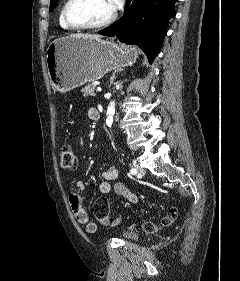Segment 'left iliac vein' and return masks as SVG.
Returning <instances> with one entry per match:
<instances>
[{"instance_id":"4c4485c4","label":"left iliac vein","mask_w":240,"mask_h":281,"mask_svg":"<svg viewBox=\"0 0 240 281\" xmlns=\"http://www.w3.org/2000/svg\"><path fill=\"white\" fill-rule=\"evenodd\" d=\"M135 169L138 171V176H143L145 174V170L139 165L137 161L133 162Z\"/></svg>"}]
</instances>
